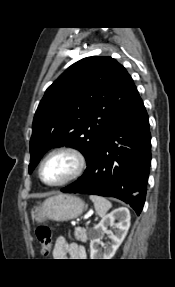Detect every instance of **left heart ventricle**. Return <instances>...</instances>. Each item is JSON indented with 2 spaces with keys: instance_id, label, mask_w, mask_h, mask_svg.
<instances>
[{
  "instance_id": "obj_1",
  "label": "left heart ventricle",
  "mask_w": 175,
  "mask_h": 287,
  "mask_svg": "<svg viewBox=\"0 0 175 287\" xmlns=\"http://www.w3.org/2000/svg\"><path fill=\"white\" fill-rule=\"evenodd\" d=\"M75 160L69 154H56L43 166V179L48 183H57L68 177L75 169Z\"/></svg>"
}]
</instances>
